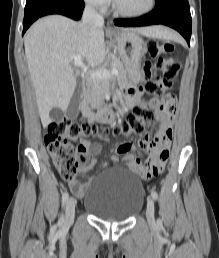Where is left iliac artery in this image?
<instances>
[{
	"mask_svg": "<svg viewBox=\"0 0 219 258\" xmlns=\"http://www.w3.org/2000/svg\"><path fill=\"white\" fill-rule=\"evenodd\" d=\"M151 196L154 200L158 199V193L155 190H151Z\"/></svg>",
	"mask_w": 219,
	"mask_h": 258,
	"instance_id": "1",
	"label": "left iliac artery"
}]
</instances>
